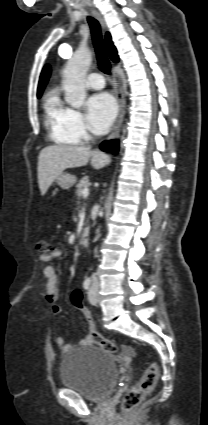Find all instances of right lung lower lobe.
<instances>
[{
	"label": "right lung lower lobe",
	"instance_id": "1",
	"mask_svg": "<svg viewBox=\"0 0 208 425\" xmlns=\"http://www.w3.org/2000/svg\"><path fill=\"white\" fill-rule=\"evenodd\" d=\"M118 140L104 141L101 143L100 148L103 151L116 154L118 152Z\"/></svg>",
	"mask_w": 208,
	"mask_h": 425
}]
</instances>
